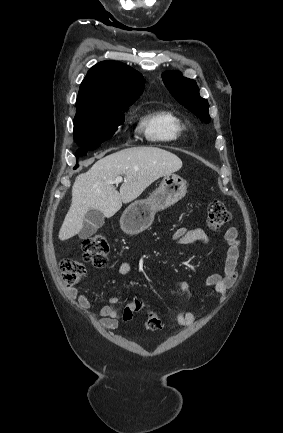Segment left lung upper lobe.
<instances>
[{
    "label": "left lung upper lobe",
    "mask_w": 283,
    "mask_h": 433,
    "mask_svg": "<svg viewBox=\"0 0 283 433\" xmlns=\"http://www.w3.org/2000/svg\"><path fill=\"white\" fill-rule=\"evenodd\" d=\"M162 79L172 96L205 123L210 121L208 101L199 95L194 80L183 77L177 71L164 72Z\"/></svg>",
    "instance_id": "5c2ea615"
}]
</instances>
